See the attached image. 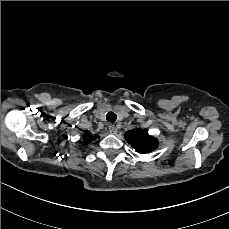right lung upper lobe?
<instances>
[{
  "label": "right lung upper lobe",
  "mask_w": 229,
  "mask_h": 229,
  "mask_svg": "<svg viewBox=\"0 0 229 229\" xmlns=\"http://www.w3.org/2000/svg\"><path fill=\"white\" fill-rule=\"evenodd\" d=\"M85 138L87 140H93L94 137L90 135V132H87L86 135H85Z\"/></svg>",
  "instance_id": "obj_1"
}]
</instances>
